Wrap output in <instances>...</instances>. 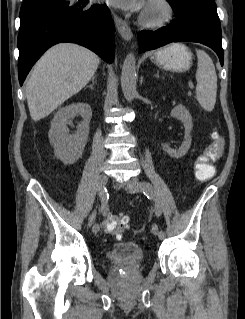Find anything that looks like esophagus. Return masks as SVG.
<instances>
[{
  "instance_id": "esophagus-1",
  "label": "esophagus",
  "mask_w": 245,
  "mask_h": 319,
  "mask_svg": "<svg viewBox=\"0 0 245 319\" xmlns=\"http://www.w3.org/2000/svg\"><path fill=\"white\" fill-rule=\"evenodd\" d=\"M113 18H114L116 28H117L118 32L120 33V35L126 41H130L132 39L133 34H132V30H131L130 26L128 25V23L126 21H124L122 18H120L118 15H116L115 13H113Z\"/></svg>"
}]
</instances>
